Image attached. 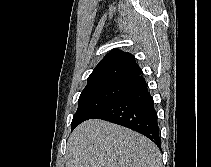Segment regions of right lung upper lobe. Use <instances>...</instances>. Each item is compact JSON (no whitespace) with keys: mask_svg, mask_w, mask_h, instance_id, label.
Returning <instances> with one entry per match:
<instances>
[{"mask_svg":"<svg viewBox=\"0 0 211 167\" xmlns=\"http://www.w3.org/2000/svg\"><path fill=\"white\" fill-rule=\"evenodd\" d=\"M141 73L132 54L114 49L98 63L88 83L105 79L133 80Z\"/></svg>","mask_w":211,"mask_h":167,"instance_id":"obj_1","label":"right lung upper lobe"}]
</instances>
